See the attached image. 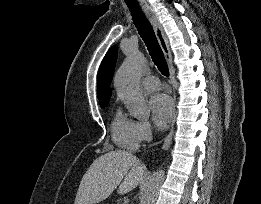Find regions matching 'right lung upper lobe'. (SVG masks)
I'll list each match as a JSON object with an SVG mask.
<instances>
[{"mask_svg": "<svg viewBox=\"0 0 261 204\" xmlns=\"http://www.w3.org/2000/svg\"><path fill=\"white\" fill-rule=\"evenodd\" d=\"M117 50L118 48L115 45L107 52L97 75V96L100 103L109 102L111 97L110 83L113 79V73L117 60Z\"/></svg>", "mask_w": 261, "mask_h": 204, "instance_id": "right-lung-upper-lobe-1", "label": "right lung upper lobe"}]
</instances>
